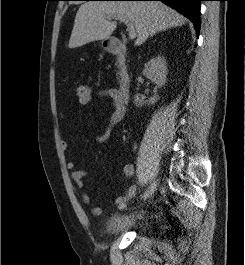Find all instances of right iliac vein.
Listing matches in <instances>:
<instances>
[{
	"label": "right iliac vein",
	"instance_id": "right-iliac-vein-1",
	"mask_svg": "<svg viewBox=\"0 0 245 265\" xmlns=\"http://www.w3.org/2000/svg\"><path fill=\"white\" fill-rule=\"evenodd\" d=\"M156 187H157V182L154 181V182L150 185V187L148 188L147 196L144 197V198H145V199H146V198H149V197L154 193V191L156 190Z\"/></svg>",
	"mask_w": 245,
	"mask_h": 265
}]
</instances>
